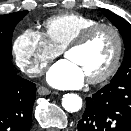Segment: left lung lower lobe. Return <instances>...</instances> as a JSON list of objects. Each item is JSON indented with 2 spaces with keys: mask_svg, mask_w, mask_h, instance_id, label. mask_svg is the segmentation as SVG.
<instances>
[{
  "mask_svg": "<svg viewBox=\"0 0 131 131\" xmlns=\"http://www.w3.org/2000/svg\"><path fill=\"white\" fill-rule=\"evenodd\" d=\"M86 102L78 131H131V79L110 82Z\"/></svg>",
  "mask_w": 131,
  "mask_h": 131,
  "instance_id": "obj_1",
  "label": "left lung lower lobe"
}]
</instances>
